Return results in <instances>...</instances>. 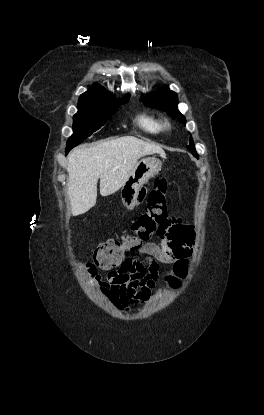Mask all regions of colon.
<instances>
[{
  "label": "colon",
  "instance_id": "1",
  "mask_svg": "<svg viewBox=\"0 0 264 415\" xmlns=\"http://www.w3.org/2000/svg\"><path fill=\"white\" fill-rule=\"evenodd\" d=\"M168 180L165 176L157 179L156 187L148 198L145 212L133 220L128 231L119 237L108 239L100 243L93 252V259L88 263L92 273L97 270H116L126 261L129 253H135L140 246L149 241L154 235L166 236L171 232L172 222L167 214ZM186 264L178 262L166 276L167 285L175 289L180 284V277L184 274ZM127 290L122 288L115 293L116 302L124 301Z\"/></svg>",
  "mask_w": 264,
  "mask_h": 415
}]
</instances>
